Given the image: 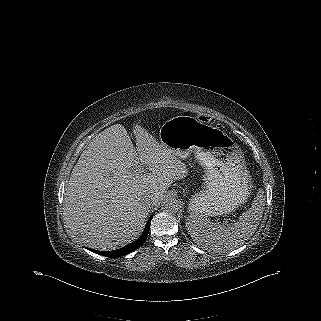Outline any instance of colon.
Wrapping results in <instances>:
<instances>
[{
  "mask_svg": "<svg viewBox=\"0 0 321 321\" xmlns=\"http://www.w3.org/2000/svg\"><path fill=\"white\" fill-rule=\"evenodd\" d=\"M202 121H204V122H211V119L209 118V117H207V116H203V117H201L200 118Z\"/></svg>",
  "mask_w": 321,
  "mask_h": 321,
  "instance_id": "obj_1",
  "label": "colon"
}]
</instances>
